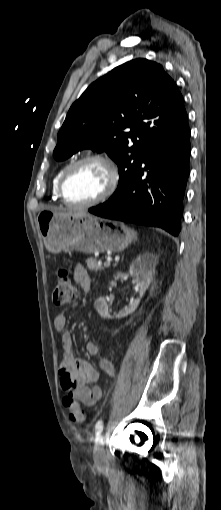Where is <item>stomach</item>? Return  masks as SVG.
<instances>
[{
	"instance_id": "1",
	"label": "stomach",
	"mask_w": 221,
	"mask_h": 510,
	"mask_svg": "<svg viewBox=\"0 0 221 510\" xmlns=\"http://www.w3.org/2000/svg\"><path fill=\"white\" fill-rule=\"evenodd\" d=\"M37 222L45 247L51 253L117 252L135 239V233L123 223L84 212L42 211Z\"/></svg>"
}]
</instances>
